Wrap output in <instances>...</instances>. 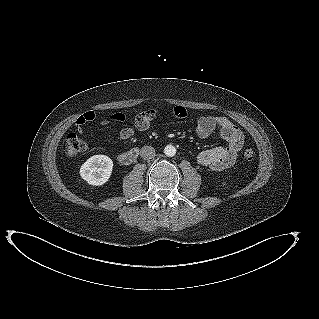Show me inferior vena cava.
<instances>
[{"label":"inferior vena cava","instance_id":"1","mask_svg":"<svg viewBox=\"0 0 319 319\" xmlns=\"http://www.w3.org/2000/svg\"><path fill=\"white\" fill-rule=\"evenodd\" d=\"M140 155L145 160L152 159L155 156V149L151 146H144L140 151Z\"/></svg>","mask_w":319,"mask_h":319}]
</instances>
